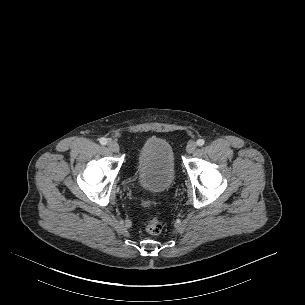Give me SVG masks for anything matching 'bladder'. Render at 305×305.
I'll use <instances>...</instances> for the list:
<instances>
[{
	"instance_id": "31cf9c89",
	"label": "bladder",
	"mask_w": 305,
	"mask_h": 305,
	"mask_svg": "<svg viewBox=\"0 0 305 305\" xmlns=\"http://www.w3.org/2000/svg\"><path fill=\"white\" fill-rule=\"evenodd\" d=\"M135 169L141 186L153 192L173 187L176 181L174 154L170 143L160 137H151L139 147Z\"/></svg>"
}]
</instances>
